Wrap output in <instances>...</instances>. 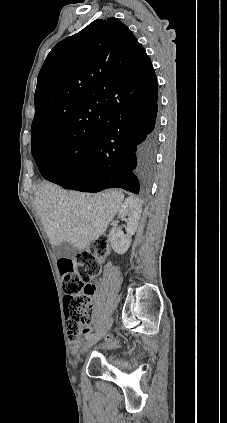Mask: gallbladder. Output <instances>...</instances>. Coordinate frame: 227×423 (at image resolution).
I'll list each match as a JSON object with an SVG mask.
<instances>
[{
	"label": "gallbladder",
	"instance_id": "1",
	"mask_svg": "<svg viewBox=\"0 0 227 423\" xmlns=\"http://www.w3.org/2000/svg\"><path fill=\"white\" fill-rule=\"evenodd\" d=\"M53 251L57 259H59V257H69V259H73L77 253L75 245L67 243V241H63V243H59V245H54Z\"/></svg>",
	"mask_w": 227,
	"mask_h": 423
}]
</instances>
